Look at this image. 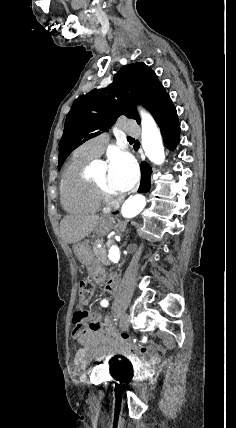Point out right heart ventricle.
Returning a JSON list of instances; mask_svg holds the SVG:
<instances>
[{"label":"right heart ventricle","mask_w":236,"mask_h":428,"mask_svg":"<svg viewBox=\"0 0 236 428\" xmlns=\"http://www.w3.org/2000/svg\"><path fill=\"white\" fill-rule=\"evenodd\" d=\"M94 160L85 152V145L72 154L60 182V196L64 208L68 211L94 213L102 207L92 179L87 176L86 168Z\"/></svg>","instance_id":"1"}]
</instances>
